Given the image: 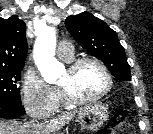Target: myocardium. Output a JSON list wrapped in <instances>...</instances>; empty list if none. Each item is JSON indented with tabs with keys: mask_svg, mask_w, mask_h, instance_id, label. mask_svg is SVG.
<instances>
[{
	"mask_svg": "<svg viewBox=\"0 0 153 134\" xmlns=\"http://www.w3.org/2000/svg\"><path fill=\"white\" fill-rule=\"evenodd\" d=\"M91 63L96 65L104 74L107 84L103 91L90 97H80L75 95L69 86L58 85L59 93L63 101L68 105H80L90 102H95L106 96L113 88V76L107 66L95 57H81L69 63L67 70L70 75H73L82 65Z\"/></svg>",
	"mask_w": 153,
	"mask_h": 134,
	"instance_id": "myocardium-1",
	"label": "myocardium"
}]
</instances>
